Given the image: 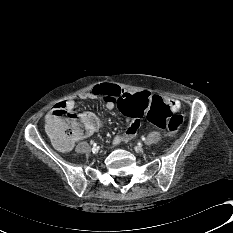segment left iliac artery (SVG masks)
<instances>
[{
	"instance_id": "obj_1",
	"label": "left iliac artery",
	"mask_w": 233,
	"mask_h": 233,
	"mask_svg": "<svg viewBox=\"0 0 233 233\" xmlns=\"http://www.w3.org/2000/svg\"><path fill=\"white\" fill-rule=\"evenodd\" d=\"M143 141L146 139L144 136H142V138H141Z\"/></svg>"
}]
</instances>
